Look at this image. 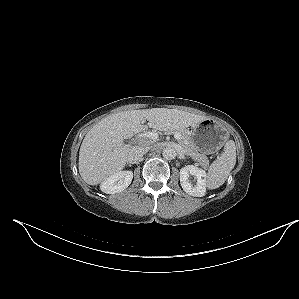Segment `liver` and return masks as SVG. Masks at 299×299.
<instances>
[{
    "instance_id": "liver-1",
    "label": "liver",
    "mask_w": 299,
    "mask_h": 299,
    "mask_svg": "<svg viewBox=\"0 0 299 299\" xmlns=\"http://www.w3.org/2000/svg\"><path fill=\"white\" fill-rule=\"evenodd\" d=\"M206 117L176 109L130 110L103 118L85 135L79 151V173L89 185L102 183L120 172L131 149L124 140L145 130L144 121L155 130H182Z\"/></svg>"
}]
</instances>
